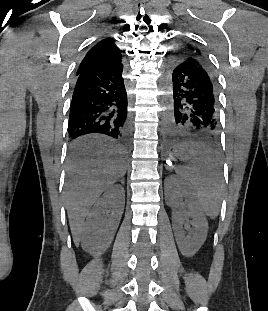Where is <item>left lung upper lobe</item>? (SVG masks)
I'll list each match as a JSON object with an SVG mask.
<instances>
[{"label":"left lung upper lobe","instance_id":"left-lung-upper-lobe-1","mask_svg":"<svg viewBox=\"0 0 268 311\" xmlns=\"http://www.w3.org/2000/svg\"><path fill=\"white\" fill-rule=\"evenodd\" d=\"M180 47L185 49L184 59H189L192 57H200L207 59L204 52L192 43L185 42Z\"/></svg>","mask_w":268,"mask_h":311}]
</instances>
